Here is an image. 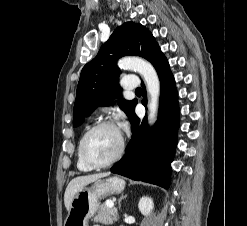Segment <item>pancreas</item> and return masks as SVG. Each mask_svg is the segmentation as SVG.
I'll return each mask as SVG.
<instances>
[{
	"mask_svg": "<svg viewBox=\"0 0 247 226\" xmlns=\"http://www.w3.org/2000/svg\"><path fill=\"white\" fill-rule=\"evenodd\" d=\"M94 221L104 224H112L117 221V209L115 207L109 208L106 204L101 205L98 214L94 217Z\"/></svg>",
	"mask_w": 247,
	"mask_h": 226,
	"instance_id": "1",
	"label": "pancreas"
}]
</instances>
